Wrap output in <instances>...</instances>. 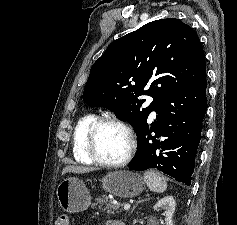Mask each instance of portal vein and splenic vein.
<instances>
[{
	"label": "portal vein and splenic vein",
	"mask_w": 237,
	"mask_h": 225,
	"mask_svg": "<svg viewBox=\"0 0 237 225\" xmlns=\"http://www.w3.org/2000/svg\"><path fill=\"white\" fill-rule=\"evenodd\" d=\"M130 209V205L129 204H125L124 205V210H129Z\"/></svg>",
	"instance_id": "18ae733b"
}]
</instances>
